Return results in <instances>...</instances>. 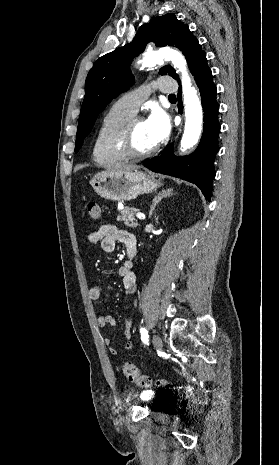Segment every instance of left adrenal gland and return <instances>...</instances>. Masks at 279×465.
I'll return each mask as SVG.
<instances>
[{"label":"left adrenal gland","mask_w":279,"mask_h":465,"mask_svg":"<svg viewBox=\"0 0 279 465\" xmlns=\"http://www.w3.org/2000/svg\"><path fill=\"white\" fill-rule=\"evenodd\" d=\"M171 195H173V189H167V190H162L161 192H159L153 199L152 201V205L150 207V211H149V218H151L156 206L159 204V202H161V200L163 198H167V197H170Z\"/></svg>","instance_id":"obj_1"}]
</instances>
